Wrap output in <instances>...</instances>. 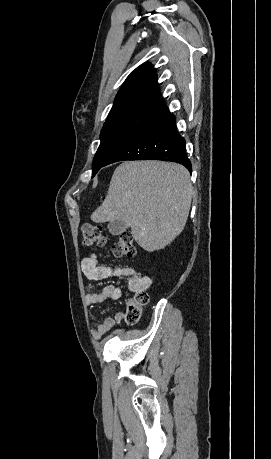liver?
<instances>
[{"label": "liver", "instance_id": "liver-1", "mask_svg": "<svg viewBox=\"0 0 271 459\" xmlns=\"http://www.w3.org/2000/svg\"><path fill=\"white\" fill-rule=\"evenodd\" d=\"M192 200L190 174L173 162H123L92 222H125L146 251L163 249L185 228Z\"/></svg>", "mask_w": 271, "mask_h": 459}]
</instances>
